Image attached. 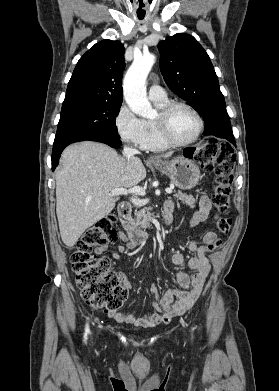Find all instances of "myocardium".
I'll list each match as a JSON object with an SVG mask.
<instances>
[{
	"label": "myocardium",
	"instance_id": "1",
	"mask_svg": "<svg viewBox=\"0 0 279 391\" xmlns=\"http://www.w3.org/2000/svg\"><path fill=\"white\" fill-rule=\"evenodd\" d=\"M188 109L197 119L198 129L195 135L187 141H176L170 132V117L176 108ZM156 126L163 142L169 147H185L196 142L204 129V120L201 114L190 104L182 101L168 102L162 109H160L157 118L155 119Z\"/></svg>",
	"mask_w": 279,
	"mask_h": 391
}]
</instances>
